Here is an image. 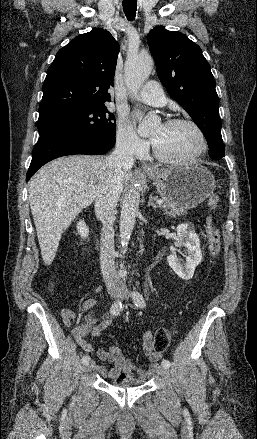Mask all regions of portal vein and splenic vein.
Here are the masks:
<instances>
[{
  "label": "portal vein and splenic vein",
  "mask_w": 257,
  "mask_h": 439,
  "mask_svg": "<svg viewBox=\"0 0 257 439\" xmlns=\"http://www.w3.org/2000/svg\"><path fill=\"white\" fill-rule=\"evenodd\" d=\"M78 198V197H77ZM163 200L162 199H158L157 201H156V203L158 204V205H161V204H163Z\"/></svg>",
  "instance_id": "1"
}]
</instances>
